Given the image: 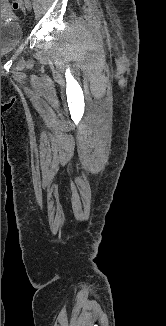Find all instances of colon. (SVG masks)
<instances>
[{
    "mask_svg": "<svg viewBox=\"0 0 166 326\" xmlns=\"http://www.w3.org/2000/svg\"><path fill=\"white\" fill-rule=\"evenodd\" d=\"M12 7L14 9H19L22 7V1L21 0H14L12 3Z\"/></svg>",
    "mask_w": 166,
    "mask_h": 326,
    "instance_id": "5ec220e1",
    "label": "colon"
}]
</instances>
